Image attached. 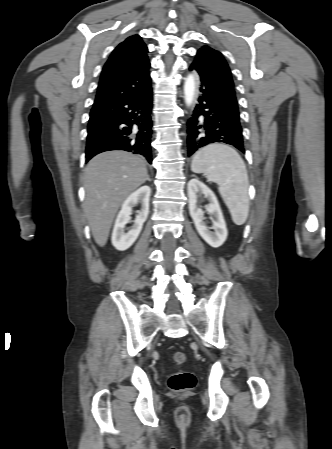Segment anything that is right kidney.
Wrapping results in <instances>:
<instances>
[{
    "instance_id": "obj_1",
    "label": "right kidney",
    "mask_w": 332,
    "mask_h": 449,
    "mask_svg": "<svg viewBox=\"0 0 332 449\" xmlns=\"http://www.w3.org/2000/svg\"><path fill=\"white\" fill-rule=\"evenodd\" d=\"M151 189L149 186H142L132 194L122 204V208L118 213L112 232V245L120 251L128 249L138 238L143 224L149 214V199ZM140 203L142 208L138 212L134 220V224L130 228H126V224L130 221L132 207ZM127 230V232H126Z\"/></svg>"
}]
</instances>
